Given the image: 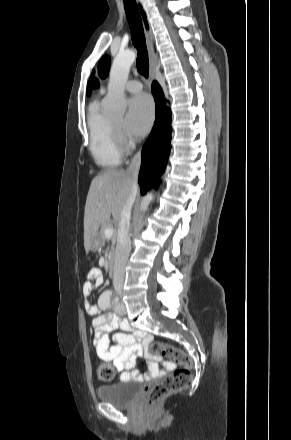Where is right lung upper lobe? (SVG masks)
<instances>
[{"label": "right lung upper lobe", "mask_w": 291, "mask_h": 440, "mask_svg": "<svg viewBox=\"0 0 291 440\" xmlns=\"http://www.w3.org/2000/svg\"><path fill=\"white\" fill-rule=\"evenodd\" d=\"M90 91H91V85L88 84V86H87V94H88V95L90 94Z\"/></svg>", "instance_id": "1"}]
</instances>
